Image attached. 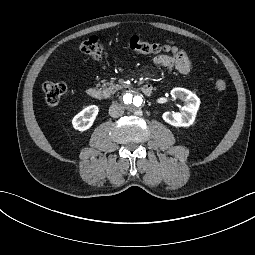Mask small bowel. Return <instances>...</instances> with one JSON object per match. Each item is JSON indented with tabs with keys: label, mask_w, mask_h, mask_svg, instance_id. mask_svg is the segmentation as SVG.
Masks as SVG:
<instances>
[{
	"label": "small bowel",
	"mask_w": 255,
	"mask_h": 255,
	"mask_svg": "<svg viewBox=\"0 0 255 255\" xmlns=\"http://www.w3.org/2000/svg\"><path fill=\"white\" fill-rule=\"evenodd\" d=\"M154 64L164 67L168 72L176 70L181 74H189L193 70V63L190 57L183 51L172 55L158 54L153 57Z\"/></svg>",
	"instance_id": "c3829d8e"
}]
</instances>
